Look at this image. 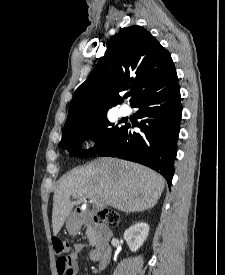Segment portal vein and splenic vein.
<instances>
[{"label":"portal vein and splenic vein","instance_id":"18ae733b","mask_svg":"<svg viewBox=\"0 0 225 275\" xmlns=\"http://www.w3.org/2000/svg\"><path fill=\"white\" fill-rule=\"evenodd\" d=\"M93 201H94L96 208H102L104 206L102 201L99 199L93 198Z\"/></svg>","mask_w":225,"mask_h":275}]
</instances>
